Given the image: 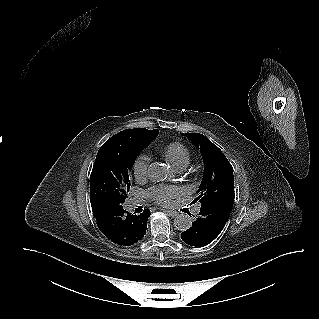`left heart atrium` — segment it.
Wrapping results in <instances>:
<instances>
[{
	"mask_svg": "<svg viewBox=\"0 0 319 319\" xmlns=\"http://www.w3.org/2000/svg\"><path fill=\"white\" fill-rule=\"evenodd\" d=\"M149 196L158 204L168 205L170 201L179 194L178 188L174 186H156L148 191Z\"/></svg>",
	"mask_w": 319,
	"mask_h": 319,
	"instance_id": "1",
	"label": "left heart atrium"
}]
</instances>
